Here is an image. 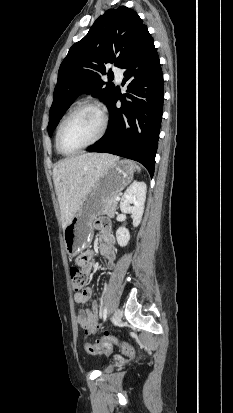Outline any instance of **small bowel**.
Returning <instances> with one entry per match:
<instances>
[{"label": "small bowel", "instance_id": "c3829d8e", "mask_svg": "<svg viewBox=\"0 0 233 413\" xmlns=\"http://www.w3.org/2000/svg\"><path fill=\"white\" fill-rule=\"evenodd\" d=\"M97 226L101 229L99 235L100 247L99 251L106 260V265L109 270H113L115 266L116 252L114 248V238L109 231L108 224L105 221H98ZM91 254L87 249H82L77 256V264L81 267L85 275L92 272L93 264L90 261ZM92 295V289L86 288L83 291L74 293V301L78 304L86 303ZM99 305L97 302L91 303V308L87 310H79L77 314L78 325L85 330L86 334L95 333L99 328Z\"/></svg>", "mask_w": 233, "mask_h": 413}]
</instances>
